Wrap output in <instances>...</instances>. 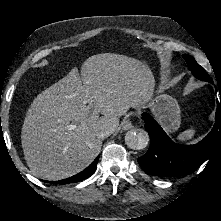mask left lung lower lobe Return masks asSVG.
<instances>
[{"label": "left lung lower lobe", "instance_id": "left-lung-lower-lobe-1", "mask_svg": "<svg viewBox=\"0 0 221 221\" xmlns=\"http://www.w3.org/2000/svg\"><path fill=\"white\" fill-rule=\"evenodd\" d=\"M212 82V81H210ZM217 102L215 125L211 132L195 145H180L171 141L160 125L147 113L142 114L150 136L148 151L138 163L148 175L161 178L184 176L199 168L221 147V107Z\"/></svg>", "mask_w": 221, "mask_h": 221}]
</instances>
